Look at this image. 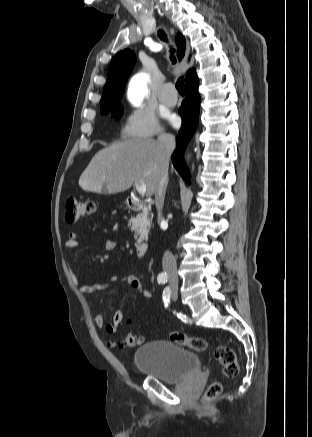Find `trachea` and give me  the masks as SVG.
<instances>
[{"label": "trachea", "instance_id": "trachea-1", "mask_svg": "<svg viewBox=\"0 0 312 437\" xmlns=\"http://www.w3.org/2000/svg\"><path fill=\"white\" fill-rule=\"evenodd\" d=\"M159 37L162 39V40H164V41H166V34L163 32V31H160L159 32ZM171 60H172V62L173 63H175L176 62V60H175V58L172 56L171 57ZM183 85H184V78L183 77H180L178 80H177V82H176V89L178 90V92L180 93V94H184V87H183Z\"/></svg>", "mask_w": 312, "mask_h": 437}]
</instances>
